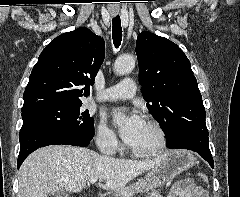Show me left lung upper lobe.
<instances>
[{
	"label": "left lung upper lobe",
	"instance_id": "obj_1",
	"mask_svg": "<svg viewBox=\"0 0 240 197\" xmlns=\"http://www.w3.org/2000/svg\"><path fill=\"white\" fill-rule=\"evenodd\" d=\"M139 81L147 108L165 132V121L202 102L190 61L170 40L148 31L138 35ZM203 103V102H202Z\"/></svg>",
	"mask_w": 240,
	"mask_h": 197
}]
</instances>
